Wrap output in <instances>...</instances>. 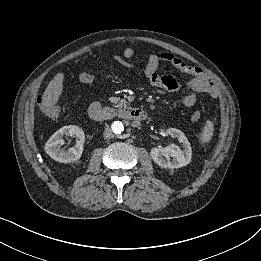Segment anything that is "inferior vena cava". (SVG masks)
Listing matches in <instances>:
<instances>
[{"mask_svg":"<svg viewBox=\"0 0 261 261\" xmlns=\"http://www.w3.org/2000/svg\"><path fill=\"white\" fill-rule=\"evenodd\" d=\"M103 136H104L105 139H109V138H112V137H113V132H112V130L110 129V127H106V128H105V131H104Z\"/></svg>","mask_w":261,"mask_h":261,"instance_id":"602c4592","label":"inferior vena cava"}]
</instances>
